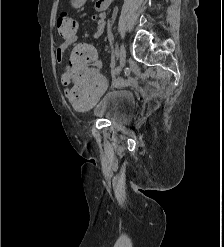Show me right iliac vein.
I'll list each match as a JSON object with an SVG mask.
<instances>
[{"mask_svg": "<svg viewBox=\"0 0 224 247\" xmlns=\"http://www.w3.org/2000/svg\"><path fill=\"white\" fill-rule=\"evenodd\" d=\"M126 62V50L125 47L122 45L120 50V70L125 66Z\"/></svg>", "mask_w": 224, "mask_h": 247, "instance_id": "1", "label": "right iliac vein"}]
</instances>
